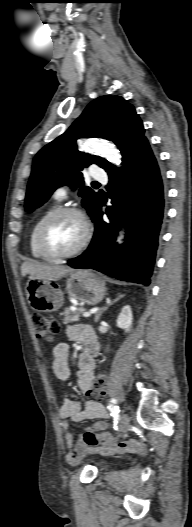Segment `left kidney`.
<instances>
[{
  "instance_id": "left-kidney-1",
  "label": "left kidney",
  "mask_w": 192,
  "mask_h": 527,
  "mask_svg": "<svg viewBox=\"0 0 192 527\" xmlns=\"http://www.w3.org/2000/svg\"><path fill=\"white\" fill-rule=\"evenodd\" d=\"M133 315L129 305L123 307L117 318V327L129 331L132 325Z\"/></svg>"
}]
</instances>
